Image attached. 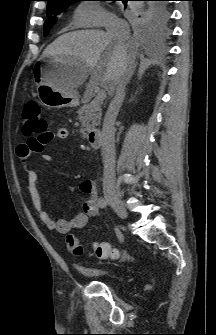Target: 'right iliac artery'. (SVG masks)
<instances>
[{"label":"right iliac artery","mask_w":216,"mask_h":335,"mask_svg":"<svg viewBox=\"0 0 216 335\" xmlns=\"http://www.w3.org/2000/svg\"><path fill=\"white\" fill-rule=\"evenodd\" d=\"M98 204H99V207H100V208H106V206H107V201L105 200V198L100 197L99 200H98ZM115 232H116V235H117V237L119 238V240L122 242V241H123V235H122V233H121V231H120L119 226H117V227L115 228Z\"/></svg>","instance_id":"82829eb1"}]
</instances>
